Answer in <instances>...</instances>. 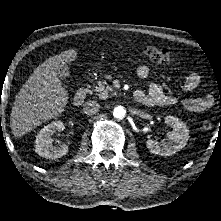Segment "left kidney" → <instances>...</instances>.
Masks as SVG:
<instances>
[{
  "instance_id": "left-kidney-1",
  "label": "left kidney",
  "mask_w": 221,
  "mask_h": 221,
  "mask_svg": "<svg viewBox=\"0 0 221 221\" xmlns=\"http://www.w3.org/2000/svg\"><path fill=\"white\" fill-rule=\"evenodd\" d=\"M164 122L172 128V131L167 133V142L148 139L146 147L155 155L171 156L186 146L190 137L189 130L184 122L174 116H166Z\"/></svg>"
}]
</instances>
